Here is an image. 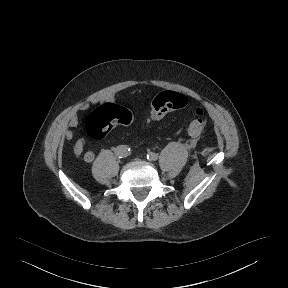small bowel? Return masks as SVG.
<instances>
[{"mask_svg":"<svg viewBox=\"0 0 288 288\" xmlns=\"http://www.w3.org/2000/svg\"><path fill=\"white\" fill-rule=\"evenodd\" d=\"M85 143L82 140L77 141L74 147V152L77 156L81 155L84 151ZM85 162L91 163L95 159V152L93 150H86L83 153Z\"/></svg>","mask_w":288,"mask_h":288,"instance_id":"c3829d8e","label":"small bowel"}]
</instances>
